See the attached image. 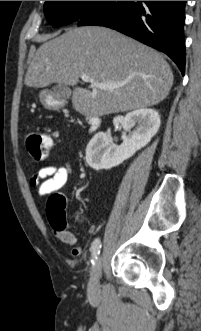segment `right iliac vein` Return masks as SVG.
<instances>
[{
  "instance_id": "obj_1",
  "label": "right iliac vein",
  "mask_w": 201,
  "mask_h": 331,
  "mask_svg": "<svg viewBox=\"0 0 201 331\" xmlns=\"http://www.w3.org/2000/svg\"><path fill=\"white\" fill-rule=\"evenodd\" d=\"M102 273V257L99 256L95 261V266L92 270V275L88 284V291L90 294L97 293L99 289V280Z\"/></svg>"
}]
</instances>
